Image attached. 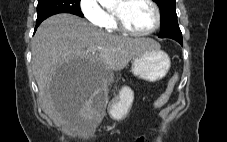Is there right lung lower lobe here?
Segmentation results:
<instances>
[{"instance_id": "right-lung-lower-lobe-1", "label": "right lung lower lobe", "mask_w": 227, "mask_h": 142, "mask_svg": "<svg viewBox=\"0 0 227 142\" xmlns=\"http://www.w3.org/2000/svg\"><path fill=\"white\" fill-rule=\"evenodd\" d=\"M42 21H36V27L35 29L38 27V25L41 23Z\"/></svg>"}]
</instances>
